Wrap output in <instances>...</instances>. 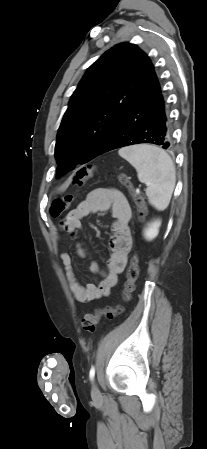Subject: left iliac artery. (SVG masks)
Instances as JSON below:
<instances>
[{
  "label": "left iliac artery",
  "mask_w": 207,
  "mask_h": 449,
  "mask_svg": "<svg viewBox=\"0 0 207 449\" xmlns=\"http://www.w3.org/2000/svg\"><path fill=\"white\" fill-rule=\"evenodd\" d=\"M94 376H95V367L92 366L91 369H90V372H89L90 380H93Z\"/></svg>",
  "instance_id": "obj_1"
}]
</instances>
